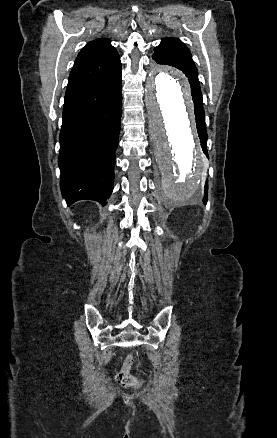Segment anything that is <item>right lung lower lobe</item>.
I'll list each match as a JSON object with an SVG mask.
<instances>
[{"label":"right lung lower lobe","instance_id":"obj_1","mask_svg":"<svg viewBox=\"0 0 277 438\" xmlns=\"http://www.w3.org/2000/svg\"><path fill=\"white\" fill-rule=\"evenodd\" d=\"M122 115V72L66 93L58 164L68 205L105 204L114 185Z\"/></svg>","mask_w":277,"mask_h":438}]
</instances>
